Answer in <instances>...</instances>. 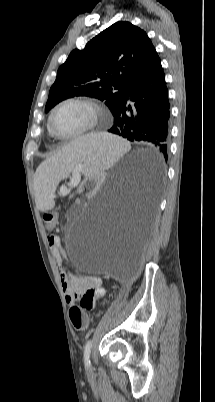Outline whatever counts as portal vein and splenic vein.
Returning <instances> with one entry per match:
<instances>
[{"label":"portal vein and splenic vein","instance_id":"1","mask_svg":"<svg viewBox=\"0 0 215 402\" xmlns=\"http://www.w3.org/2000/svg\"><path fill=\"white\" fill-rule=\"evenodd\" d=\"M79 181H80V179L73 180V181H72V185H73V186L78 185Z\"/></svg>","mask_w":215,"mask_h":402}]
</instances>
